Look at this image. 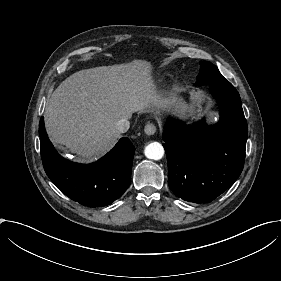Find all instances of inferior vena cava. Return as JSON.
Listing matches in <instances>:
<instances>
[{
  "instance_id": "1",
  "label": "inferior vena cava",
  "mask_w": 281,
  "mask_h": 281,
  "mask_svg": "<svg viewBox=\"0 0 281 281\" xmlns=\"http://www.w3.org/2000/svg\"><path fill=\"white\" fill-rule=\"evenodd\" d=\"M115 126L120 133H125L128 131L130 123L126 118H122L115 123Z\"/></svg>"
}]
</instances>
